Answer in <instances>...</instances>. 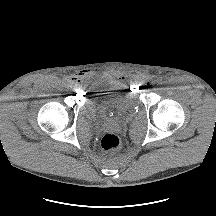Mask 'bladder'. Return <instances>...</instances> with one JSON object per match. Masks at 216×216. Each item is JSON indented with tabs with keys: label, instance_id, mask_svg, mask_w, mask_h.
<instances>
[{
	"label": "bladder",
	"instance_id": "obj_1",
	"mask_svg": "<svg viewBox=\"0 0 216 216\" xmlns=\"http://www.w3.org/2000/svg\"><path fill=\"white\" fill-rule=\"evenodd\" d=\"M90 105L94 113L111 118L132 111L136 99L131 93L105 88L91 98Z\"/></svg>",
	"mask_w": 216,
	"mask_h": 216
}]
</instances>
